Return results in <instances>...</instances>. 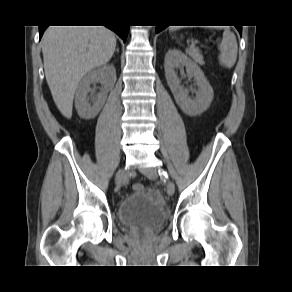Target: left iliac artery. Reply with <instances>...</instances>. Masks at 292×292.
Wrapping results in <instances>:
<instances>
[{"instance_id":"1","label":"left iliac artery","mask_w":292,"mask_h":292,"mask_svg":"<svg viewBox=\"0 0 292 292\" xmlns=\"http://www.w3.org/2000/svg\"><path fill=\"white\" fill-rule=\"evenodd\" d=\"M159 174L160 176L164 179V181L166 182V180H168V174L166 171L164 170H159Z\"/></svg>"}]
</instances>
